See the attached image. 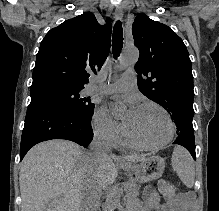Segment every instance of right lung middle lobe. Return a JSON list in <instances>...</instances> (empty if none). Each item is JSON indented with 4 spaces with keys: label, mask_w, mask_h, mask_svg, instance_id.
<instances>
[{
    "label": "right lung middle lobe",
    "mask_w": 219,
    "mask_h": 211,
    "mask_svg": "<svg viewBox=\"0 0 219 211\" xmlns=\"http://www.w3.org/2000/svg\"><path fill=\"white\" fill-rule=\"evenodd\" d=\"M80 90L81 88L70 87L61 84H50L30 93L31 95H52L75 113L84 117H90L94 111V104L90 102V98H81L78 93Z\"/></svg>",
    "instance_id": "dd1d6c3e"
}]
</instances>
